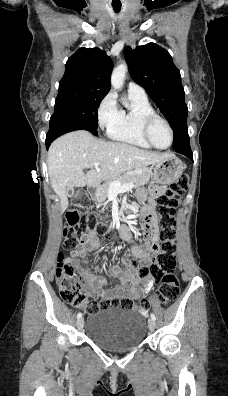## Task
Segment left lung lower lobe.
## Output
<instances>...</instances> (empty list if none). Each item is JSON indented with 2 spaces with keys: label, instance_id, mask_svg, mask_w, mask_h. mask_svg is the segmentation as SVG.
Here are the masks:
<instances>
[{
  "label": "left lung lower lobe",
  "instance_id": "1",
  "mask_svg": "<svg viewBox=\"0 0 228 396\" xmlns=\"http://www.w3.org/2000/svg\"><path fill=\"white\" fill-rule=\"evenodd\" d=\"M176 142L183 144L182 147L185 148L184 150H181L179 153L184 154L187 157H189L191 160H193V154H192L191 149H190L189 136H188V129L187 128L185 130H183L179 134V137H178Z\"/></svg>",
  "mask_w": 228,
  "mask_h": 396
}]
</instances>
